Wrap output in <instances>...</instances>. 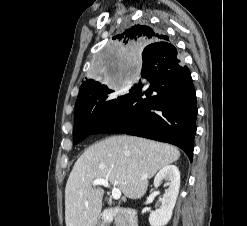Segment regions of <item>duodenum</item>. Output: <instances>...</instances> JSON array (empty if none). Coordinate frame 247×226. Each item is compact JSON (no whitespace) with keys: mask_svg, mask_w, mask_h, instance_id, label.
I'll use <instances>...</instances> for the list:
<instances>
[{"mask_svg":"<svg viewBox=\"0 0 247 226\" xmlns=\"http://www.w3.org/2000/svg\"><path fill=\"white\" fill-rule=\"evenodd\" d=\"M114 219H118L121 226H138L137 212L131 208L114 207L104 211L102 226H106Z\"/></svg>","mask_w":247,"mask_h":226,"instance_id":"410a0bca","label":"duodenum"}]
</instances>
